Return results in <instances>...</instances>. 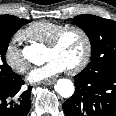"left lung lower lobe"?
Returning <instances> with one entry per match:
<instances>
[{"instance_id": "obj_1", "label": "left lung lower lobe", "mask_w": 116, "mask_h": 116, "mask_svg": "<svg viewBox=\"0 0 116 116\" xmlns=\"http://www.w3.org/2000/svg\"><path fill=\"white\" fill-rule=\"evenodd\" d=\"M75 92L63 103L66 116H116V73L74 77Z\"/></svg>"}]
</instances>
